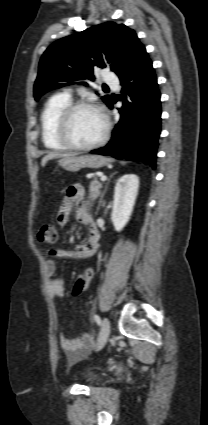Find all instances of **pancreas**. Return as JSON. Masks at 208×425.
<instances>
[{
  "mask_svg": "<svg viewBox=\"0 0 208 425\" xmlns=\"http://www.w3.org/2000/svg\"><path fill=\"white\" fill-rule=\"evenodd\" d=\"M102 184L95 178L90 182L89 199L95 200L100 195V188Z\"/></svg>",
  "mask_w": 208,
  "mask_h": 425,
  "instance_id": "pancreas-1",
  "label": "pancreas"
}]
</instances>
